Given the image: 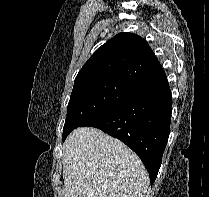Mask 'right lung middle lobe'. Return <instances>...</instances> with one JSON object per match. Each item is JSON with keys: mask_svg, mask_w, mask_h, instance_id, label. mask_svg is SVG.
I'll use <instances>...</instances> for the list:
<instances>
[{"mask_svg": "<svg viewBox=\"0 0 209 197\" xmlns=\"http://www.w3.org/2000/svg\"><path fill=\"white\" fill-rule=\"evenodd\" d=\"M133 87L111 80L74 83L67 107L63 140L77 127L137 92Z\"/></svg>", "mask_w": 209, "mask_h": 197, "instance_id": "obj_1", "label": "right lung middle lobe"}]
</instances>
